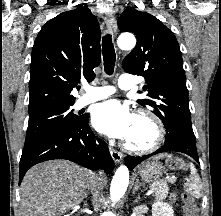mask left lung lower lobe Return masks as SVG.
Returning <instances> with one entry per match:
<instances>
[{
    "instance_id": "obj_1",
    "label": "left lung lower lobe",
    "mask_w": 221,
    "mask_h": 216,
    "mask_svg": "<svg viewBox=\"0 0 221 216\" xmlns=\"http://www.w3.org/2000/svg\"><path fill=\"white\" fill-rule=\"evenodd\" d=\"M182 152L189 156H191L193 159H195L199 163V157L197 154L196 149V143L192 140L183 139V138H176L173 140H165L164 145L158 149L157 151L153 152L152 154L145 155L142 157H132L127 156L125 158L126 165L131 170L133 169L137 164L142 162L143 160L147 159L150 156H153L155 154L163 153V152Z\"/></svg>"
}]
</instances>
